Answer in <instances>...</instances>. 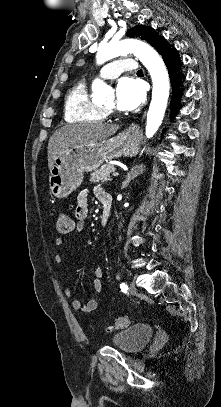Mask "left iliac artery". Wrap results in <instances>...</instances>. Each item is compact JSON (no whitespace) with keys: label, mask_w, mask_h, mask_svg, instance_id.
<instances>
[{"label":"left iliac artery","mask_w":221,"mask_h":407,"mask_svg":"<svg viewBox=\"0 0 221 407\" xmlns=\"http://www.w3.org/2000/svg\"><path fill=\"white\" fill-rule=\"evenodd\" d=\"M120 288H121V291L124 292V291H126L128 289V286L125 283H122L120 285Z\"/></svg>","instance_id":"44dca946"}]
</instances>
